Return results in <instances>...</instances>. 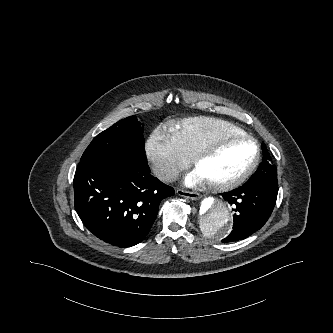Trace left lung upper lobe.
Instances as JSON below:
<instances>
[{"instance_id":"1","label":"left lung upper lobe","mask_w":333,"mask_h":333,"mask_svg":"<svg viewBox=\"0 0 333 333\" xmlns=\"http://www.w3.org/2000/svg\"><path fill=\"white\" fill-rule=\"evenodd\" d=\"M246 184H267L278 186L277 168L272 164L269 154H263L262 162L257 171L250 177Z\"/></svg>"}]
</instances>
